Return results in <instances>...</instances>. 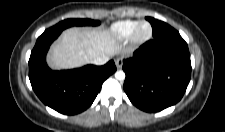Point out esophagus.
I'll return each instance as SVG.
<instances>
[{
    "mask_svg": "<svg viewBox=\"0 0 225 132\" xmlns=\"http://www.w3.org/2000/svg\"><path fill=\"white\" fill-rule=\"evenodd\" d=\"M122 64H123V62H122V59L121 58H117L115 60V65H116L117 68H121L122 67Z\"/></svg>",
    "mask_w": 225,
    "mask_h": 132,
    "instance_id": "1",
    "label": "esophagus"
}]
</instances>
